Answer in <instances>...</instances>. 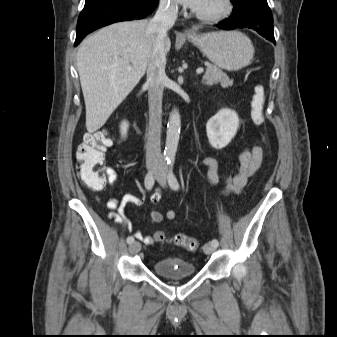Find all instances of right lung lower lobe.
<instances>
[{
	"label": "right lung lower lobe",
	"mask_w": 337,
	"mask_h": 337,
	"mask_svg": "<svg viewBox=\"0 0 337 337\" xmlns=\"http://www.w3.org/2000/svg\"><path fill=\"white\" fill-rule=\"evenodd\" d=\"M159 0H86L78 18L76 40L77 46L82 39L94 30L106 25L142 19L149 15L158 5Z\"/></svg>",
	"instance_id": "98d812e1"
}]
</instances>
